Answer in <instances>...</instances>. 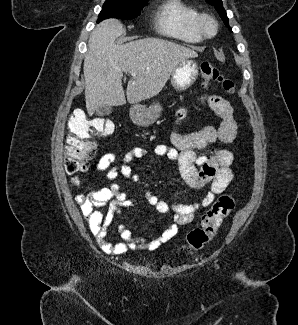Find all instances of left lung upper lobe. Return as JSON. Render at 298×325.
<instances>
[{
    "mask_svg": "<svg viewBox=\"0 0 298 325\" xmlns=\"http://www.w3.org/2000/svg\"><path fill=\"white\" fill-rule=\"evenodd\" d=\"M209 4H211L212 6L215 7V9L218 11L220 17L222 18V20L224 21V24L226 26H228L229 30H231V28L228 25V17L226 15V11L223 8L222 5V1L221 0H206Z\"/></svg>",
    "mask_w": 298,
    "mask_h": 325,
    "instance_id": "obj_1",
    "label": "left lung upper lobe"
}]
</instances>
